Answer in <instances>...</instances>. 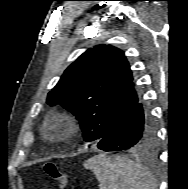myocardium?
Returning <instances> with one entry per match:
<instances>
[{"instance_id":"obj_1","label":"myocardium","mask_w":188,"mask_h":189,"mask_svg":"<svg viewBox=\"0 0 188 189\" xmlns=\"http://www.w3.org/2000/svg\"><path fill=\"white\" fill-rule=\"evenodd\" d=\"M75 121V116L70 112H54L43 119L40 132L45 137L64 135L75 127Z\"/></svg>"}]
</instances>
